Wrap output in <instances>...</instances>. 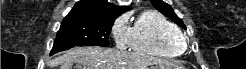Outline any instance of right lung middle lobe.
<instances>
[{"mask_svg":"<svg viewBox=\"0 0 246 69\" xmlns=\"http://www.w3.org/2000/svg\"><path fill=\"white\" fill-rule=\"evenodd\" d=\"M113 22V20H63L50 55L74 46H108Z\"/></svg>","mask_w":246,"mask_h":69,"instance_id":"obj_1","label":"right lung middle lobe"}]
</instances>
